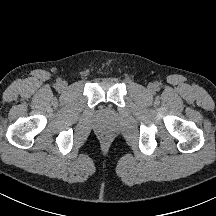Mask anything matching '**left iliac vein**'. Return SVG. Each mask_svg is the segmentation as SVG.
<instances>
[{
	"instance_id": "4c4485c4",
	"label": "left iliac vein",
	"mask_w": 216,
	"mask_h": 216,
	"mask_svg": "<svg viewBox=\"0 0 216 216\" xmlns=\"http://www.w3.org/2000/svg\"><path fill=\"white\" fill-rule=\"evenodd\" d=\"M148 90H149L150 92H152V91L154 90V87H153L152 84L148 85Z\"/></svg>"
}]
</instances>
